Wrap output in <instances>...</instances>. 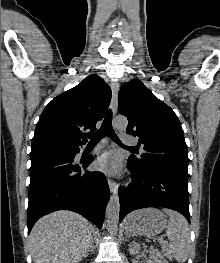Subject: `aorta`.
Here are the masks:
<instances>
[{
  "mask_svg": "<svg viewBox=\"0 0 220 263\" xmlns=\"http://www.w3.org/2000/svg\"><path fill=\"white\" fill-rule=\"evenodd\" d=\"M128 125V121L125 117H117L114 119L113 126L116 129L124 130ZM119 213H120V203L118 193H113L110 197L106 208V222L108 229L111 232H115L118 228L119 222Z\"/></svg>",
  "mask_w": 220,
  "mask_h": 263,
  "instance_id": "aorta-1",
  "label": "aorta"
}]
</instances>
